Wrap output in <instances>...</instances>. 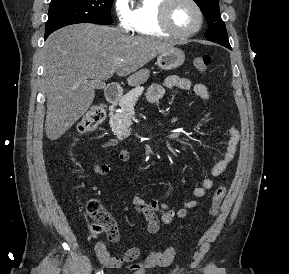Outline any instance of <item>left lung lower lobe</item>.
<instances>
[{
    "label": "left lung lower lobe",
    "mask_w": 289,
    "mask_h": 274,
    "mask_svg": "<svg viewBox=\"0 0 289 274\" xmlns=\"http://www.w3.org/2000/svg\"><path fill=\"white\" fill-rule=\"evenodd\" d=\"M225 47H227V48L231 49V46H229V45H226Z\"/></svg>",
    "instance_id": "left-lung-lower-lobe-1"
}]
</instances>
